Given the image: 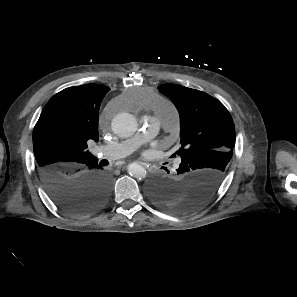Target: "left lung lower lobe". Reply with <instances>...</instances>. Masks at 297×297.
Instances as JSON below:
<instances>
[{"instance_id": "1", "label": "left lung lower lobe", "mask_w": 297, "mask_h": 297, "mask_svg": "<svg viewBox=\"0 0 297 297\" xmlns=\"http://www.w3.org/2000/svg\"><path fill=\"white\" fill-rule=\"evenodd\" d=\"M185 173H187L186 170L183 169V167L180 165L177 169V174L173 175L172 177L159 176L154 178L149 184V195L159 197L163 195L164 197V195H172V193L180 191V183L182 180H176V178L174 177H182L181 179H183L184 181V179L188 177V174ZM191 179H193V181L195 182H193L191 190H187V192H185V200H183V203L175 205L173 208L170 209H163L177 213H190L200 208L201 202L206 197L212 195L215 191H217L218 178L210 174H195V176H193V178Z\"/></svg>"}]
</instances>
